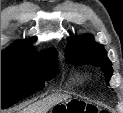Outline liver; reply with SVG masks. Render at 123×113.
Instances as JSON below:
<instances>
[{
    "label": "liver",
    "mask_w": 123,
    "mask_h": 113,
    "mask_svg": "<svg viewBox=\"0 0 123 113\" xmlns=\"http://www.w3.org/2000/svg\"><path fill=\"white\" fill-rule=\"evenodd\" d=\"M64 99H66V97H49L43 101L38 102L36 105L23 110L22 113H46L53 105L60 103Z\"/></svg>",
    "instance_id": "6515ba94"
}]
</instances>
